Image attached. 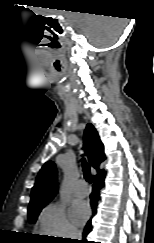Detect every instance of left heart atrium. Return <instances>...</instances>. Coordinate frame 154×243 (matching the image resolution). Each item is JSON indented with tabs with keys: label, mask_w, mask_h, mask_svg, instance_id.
<instances>
[{
	"label": "left heart atrium",
	"mask_w": 154,
	"mask_h": 243,
	"mask_svg": "<svg viewBox=\"0 0 154 243\" xmlns=\"http://www.w3.org/2000/svg\"><path fill=\"white\" fill-rule=\"evenodd\" d=\"M89 213L90 209L86 202H77L70 210L71 219L77 225L82 224L88 218Z\"/></svg>",
	"instance_id": "39dd6f15"
}]
</instances>
